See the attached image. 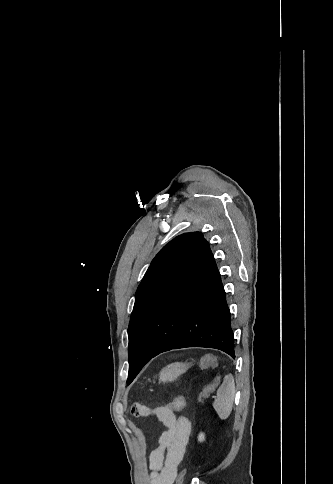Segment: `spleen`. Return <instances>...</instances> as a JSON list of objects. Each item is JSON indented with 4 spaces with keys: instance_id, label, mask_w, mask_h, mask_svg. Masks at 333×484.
<instances>
[{
    "instance_id": "spleen-1",
    "label": "spleen",
    "mask_w": 333,
    "mask_h": 484,
    "mask_svg": "<svg viewBox=\"0 0 333 484\" xmlns=\"http://www.w3.org/2000/svg\"><path fill=\"white\" fill-rule=\"evenodd\" d=\"M234 395L235 381L233 375L229 374L224 377L222 385L217 390V398L213 402V408L220 419H227L231 414Z\"/></svg>"
}]
</instances>
